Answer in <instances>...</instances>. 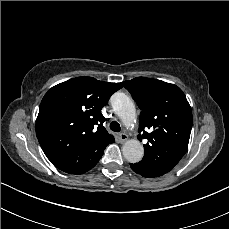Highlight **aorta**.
I'll return each instance as SVG.
<instances>
[{
    "label": "aorta",
    "mask_w": 229,
    "mask_h": 229,
    "mask_svg": "<svg viewBox=\"0 0 229 229\" xmlns=\"http://www.w3.org/2000/svg\"><path fill=\"white\" fill-rule=\"evenodd\" d=\"M111 106L124 125L131 126L135 122L136 109L132 99L123 92L111 96ZM124 158L130 163L139 162L144 155L143 145L136 139L128 140L122 147Z\"/></svg>",
    "instance_id": "1"
}]
</instances>
